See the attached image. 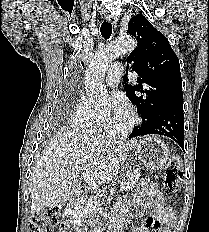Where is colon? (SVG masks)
<instances>
[{"label":"colon","mask_w":209,"mask_h":232,"mask_svg":"<svg viewBox=\"0 0 209 232\" xmlns=\"http://www.w3.org/2000/svg\"><path fill=\"white\" fill-rule=\"evenodd\" d=\"M182 181V163L179 158H172L167 164L163 186L169 193L177 192ZM61 209L50 207L33 214L30 221L31 232H53V228L58 224Z\"/></svg>","instance_id":"colon-1"}]
</instances>
